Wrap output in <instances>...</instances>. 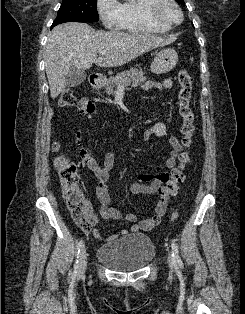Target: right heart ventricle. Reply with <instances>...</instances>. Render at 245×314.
Returning <instances> with one entry per match:
<instances>
[{
  "instance_id": "right-heart-ventricle-1",
  "label": "right heart ventricle",
  "mask_w": 245,
  "mask_h": 314,
  "mask_svg": "<svg viewBox=\"0 0 245 314\" xmlns=\"http://www.w3.org/2000/svg\"><path fill=\"white\" fill-rule=\"evenodd\" d=\"M152 0H127L120 4L118 28L131 33H166L171 27L149 18L146 7Z\"/></svg>"
}]
</instances>
